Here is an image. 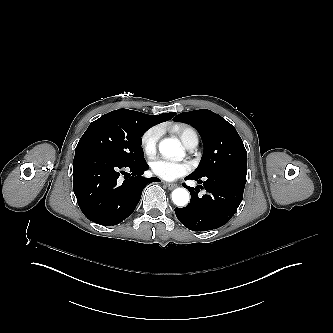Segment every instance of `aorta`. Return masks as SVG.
<instances>
[{
    "label": "aorta",
    "mask_w": 333,
    "mask_h": 333,
    "mask_svg": "<svg viewBox=\"0 0 333 333\" xmlns=\"http://www.w3.org/2000/svg\"><path fill=\"white\" fill-rule=\"evenodd\" d=\"M160 153L167 157H180L183 153L178 139L166 138L159 143ZM172 201L177 206H185L189 202V192L185 188H176L172 192Z\"/></svg>",
    "instance_id": "obj_1"
}]
</instances>
